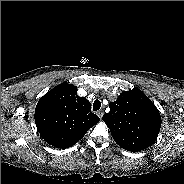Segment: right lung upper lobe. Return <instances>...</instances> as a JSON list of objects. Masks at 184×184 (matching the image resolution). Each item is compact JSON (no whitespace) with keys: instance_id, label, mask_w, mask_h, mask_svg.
Returning a JSON list of instances; mask_svg holds the SVG:
<instances>
[{"instance_id":"right-lung-upper-lobe-1","label":"right lung upper lobe","mask_w":184,"mask_h":184,"mask_svg":"<svg viewBox=\"0 0 184 184\" xmlns=\"http://www.w3.org/2000/svg\"><path fill=\"white\" fill-rule=\"evenodd\" d=\"M34 117L42 138L57 148L73 146L100 120L91 112L90 102L77 95V87L67 82L38 101Z\"/></svg>"}]
</instances>
